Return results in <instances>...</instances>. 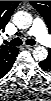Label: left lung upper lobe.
Segmentation results:
<instances>
[{
    "label": "left lung upper lobe",
    "mask_w": 51,
    "mask_h": 101,
    "mask_svg": "<svg viewBox=\"0 0 51 101\" xmlns=\"http://www.w3.org/2000/svg\"><path fill=\"white\" fill-rule=\"evenodd\" d=\"M31 5L42 15L45 19L49 29L51 28V6L47 1H30Z\"/></svg>",
    "instance_id": "obj_1"
}]
</instances>
